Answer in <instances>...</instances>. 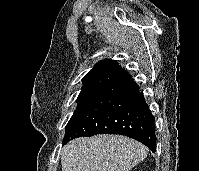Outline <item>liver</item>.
<instances>
[{
	"instance_id": "obj_1",
	"label": "liver",
	"mask_w": 199,
	"mask_h": 171,
	"mask_svg": "<svg viewBox=\"0 0 199 171\" xmlns=\"http://www.w3.org/2000/svg\"><path fill=\"white\" fill-rule=\"evenodd\" d=\"M148 154L134 139L100 134L77 138L62 149V171H130Z\"/></svg>"
}]
</instances>
